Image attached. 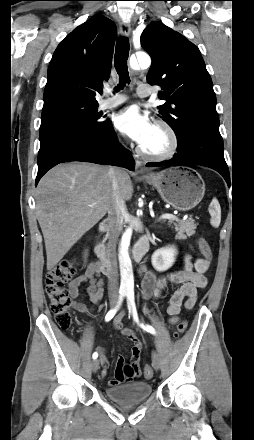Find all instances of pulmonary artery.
Segmentation results:
<instances>
[{"instance_id":"e3ab8cb5","label":"pulmonary artery","mask_w":254,"mask_h":440,"mask_svg":"<svg viewBox=\"0 0 254 440\" xmlns=\"http://www.w3.org/2000/svg\"><path fill=\"white\" fill-rule=\"evenodd\" d=\"M152 89L149 85L146 84H140L136 89V94L139 97H146L152 94ZM127 100L126 95L124 94H116L114 97H110L104 100H101L99 103V107L101 109H110L117 107L124 103Z\"/></svg>"}]
</instances>
